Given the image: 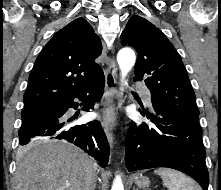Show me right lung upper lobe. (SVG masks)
Instances as JSON below:
<instances>
[{
  "label": "right lung upper lobe",
  "mask_w": 221,
  "mask_h": 190,
  "mask_svg": "<svg viewBox=\"0 0 221 190\" xmlns=\"http://www.w3.org/2000/svg\"><path fill=\"white\" fill-rule=\"evenodd\" d=\"M101 52V41L84 18L59 30L35 61L24 109L51 105L90 86L104 75L95 63Z\"/></svg>",
  "instance_id": "1"
}]
</instances>
